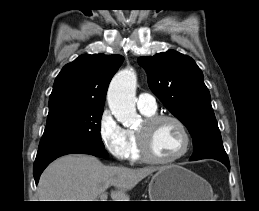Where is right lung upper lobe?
Wrapping results in <instances>:
<instances>
[{
  "mask_svg": "<svg viewBox=\"0 0 259 211\" xmlns=\"http://www.w3.org/2000/svg\"><path fill=\"white\" fill-rule=\"evenodd\" d=\"M123 59L85 54L65 65L55 79L47 119L74 109L103 108L109 83Z\"/></svg>",
  "mask_w": 259,
  "mask_h": 211,
  "instance_id": "right-lung-upper-lobe-1",
  "label": "right lung upper lobe"
}]
</instances>
